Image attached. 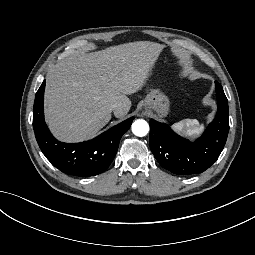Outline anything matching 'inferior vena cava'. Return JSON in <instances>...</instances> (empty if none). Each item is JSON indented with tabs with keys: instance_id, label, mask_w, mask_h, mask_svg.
I'll list each match as a JSON object with an SVG mask.
<instances>
[{
	"instance_id": "1",
	"label": "inferior vena cava",
	"mask_w": 255,
	"mask_h": 255,
	"mask_svg": "<svg viewBox=\"0 0 255 255\" xmlns=\"http://www.w3.org/2000/svg\"><path fill=\"white\" fill-rule=\"evenodd\" d=\"M111 110L115 111L120 108V104L118 102H114L111 104Z\"/></svg>"
}]
</instances>
